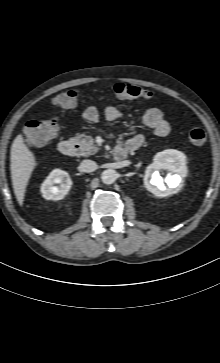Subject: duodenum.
Masks as SVG:
<instances>
[{"mask_svg":"<svg viewBox=\"0 0 220 363\" xmlns=\"http://www.w3.org/2000/svg\"><path fill=\"white\" fill-rule=\"evenodd\" d=\"M76 151V143L73 140L65 139L58 144V152L64 156H70ZM128 150L122 146H118L113 151L115 160H123L127 157Z\"/></svg>","mask_w":220,"mask_h":363,"instance_id":"1","label":"duodenum"}]
</instances>
